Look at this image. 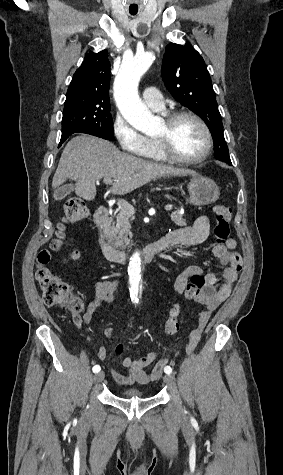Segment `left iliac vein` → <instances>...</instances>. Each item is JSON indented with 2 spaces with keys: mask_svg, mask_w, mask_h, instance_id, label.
Listing matches in <instances>:
<instances>
[{
  "mask_svg": "<svg viewBox=\"0 0 283 475\" xmlns=\"http://www.w3.org/2000/svg\"><path fill=\"white\" fill-rule=\"evenodd\" d=\"M163 381L168 384H175V377L173 375L168 374L163 377Z\"/></svg>",
  "mask_w": 283,
  "mask_h": 475,
  "instance_id": "1",
  "label": "left iliac vein"
}]
</instances>
